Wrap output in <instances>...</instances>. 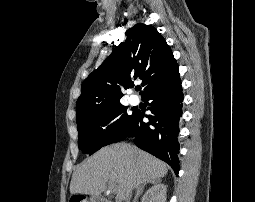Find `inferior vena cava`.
<instances>
[{"label":"inferior vena cava","mask_w":255,"mask_h":202,"mask_svg":"<svg viewBox=\"0 0 255 202\" xmlns=\"http://www.w3.org/2000/svg\"><path fill=\"white\" fill-rule=\"evenodd\" d=\"M142 187H143V185L140 186V187H138V188H137V191L140 190ZM131 194H132V191L130 192V194H129L128 197H127V202H129L128 200H130Z\"/></svg>","instance_id":"1"}]
</instances>
